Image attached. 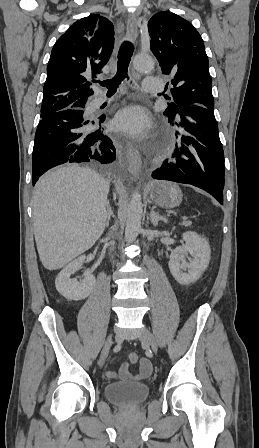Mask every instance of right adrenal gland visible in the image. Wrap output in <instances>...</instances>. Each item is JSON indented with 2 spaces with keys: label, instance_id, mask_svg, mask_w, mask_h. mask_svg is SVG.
I'll return each instance as SVG.
<instances>
[{
  "label": "right adrenal gland",
  "instance_id": "2a0ac1e0",
  "mask_svg": "<svg viewBox=\"0 0 259 448\" xmlns=\"http://www.w3.org/2000/svg\"><path fill=\"white\" fill-rule=\"evenodd\" d=\"M111 216H114V214H113V210H112V208L110 206V202H109V200H107V222H106V228H108V226H109V222L111 220Z\"/></svg>",
  "mask_w": 259,
  "mask_h": 448
}]
</instances>
